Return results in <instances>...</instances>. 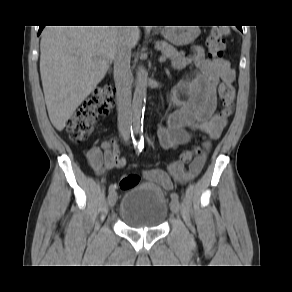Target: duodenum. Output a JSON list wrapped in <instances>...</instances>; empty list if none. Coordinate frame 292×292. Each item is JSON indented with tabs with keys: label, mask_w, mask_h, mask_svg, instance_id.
Wrapping results in <instances>:
<instances>
[{
	"label": "duodenum",
	"mask_w": 292,
	"mask_h": 292,
	"mask_svg": "<svg viewBox=\"0 0 292 292\" xmlns=\"http://www.w3.org/2000/svg\"><path fill=\"white\" fill-rule=\"evenodd\" d=\"M125 93L121 87L118 88L117 93V107L119 110H122L125 106Z\"/></svg>",
	"instance_id": "1"
}]
</instances>
